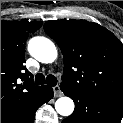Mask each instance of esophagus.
<instances>
[{"label":"esophagus","mask_w":123,"mask_h":123,"mask_svg":"<svg viewBox=\"0 0 123 123\" xmlns=\"http://www.w3.org/2000/svg\"><path fill=\"white\" fill-rule=\"evenodd\" d=\"M54 97H61L63 95L60 87L58 85L53 87Z\"/></svg>","instance_id":"esophagus-1"}]
</instances>
